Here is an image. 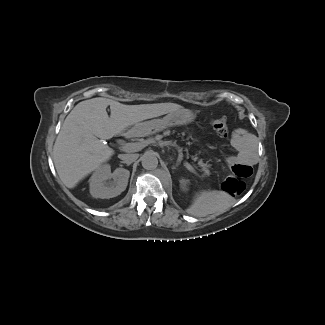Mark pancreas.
<instances>
[{
	"label": "pancreas",
	"mask_w": 325,
	"mask_h": 325,
	"mask_svg": "<svg viewBox=\"0 0 325 325\" xmlns=\"http://www.w3.org/2000/svg\"><path fill=\"white\" fill-rule=\"evenodd\" d=\"M166 136L168 140H173L181 143L182 150L184 154L194 161L196 167L201 171L202 175L210 174V165L201 155V152L197 149L196 143L190 137H187L186 134H183L178 131H174L171 129H166Z\"/></svg>",
	"instance_id": "1"
}]
</instances>
